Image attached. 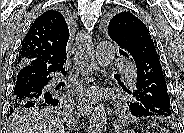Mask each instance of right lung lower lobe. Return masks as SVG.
<instances>
[{
	"label": "right lung lower lobe",
	"mask_w": 184,
	"mask_h": 133,
	"mask_svg": "<svg viewBox=\"0 0 184 133\" xmlns=\"http://www.w3.org/2000/svg\"><path fill=\"white\" fill-rule=\"evenodd\" d=\"M65 62L47 64L37 59L20 66L15 74L13 102L42 107L62 104V93L49 88L48 84L56 71L65 74Z\"/></svg>",
	"instance_id": "98d812e1"
}]
</instances>
